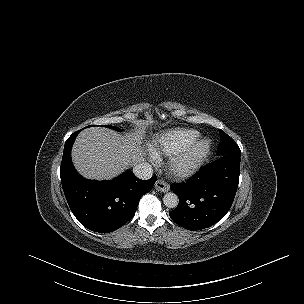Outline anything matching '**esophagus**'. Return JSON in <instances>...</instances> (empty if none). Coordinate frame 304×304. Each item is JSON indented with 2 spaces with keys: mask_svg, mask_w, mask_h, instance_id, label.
<instances>
[{
  "mask_svg": "<svg viewBox=\"0 0 304 304\" xmlns=\"http://www.w3.org/2000/svg\"><path fill=\"white\" fill-rule=\"evenodd\" d=\"M155 189L165 193L169 191V185L165 181L158 179L155 183Z\"/></svg>",
  "mask_w": 304,
  "mask_h": 304,
  "instance_id": "esophagus-1",
  "label": "esophagus"
}]
</instances>
